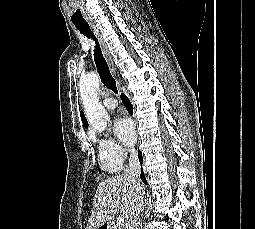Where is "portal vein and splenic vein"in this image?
Instances as JSON below:
<instances>
[{
    "mask_svg": "<svg viewBox=\"0 0 255 229\" xmlns=\"http://www.w3.org/2000/svg\"><path fill=\"white\" fill-rule=\"evenodd\" d=\"M124 223V218L122 216H119L117 218V225L118 226H121L122 224Z\"/></svg>",
    "mask_w": 255,
    "mask_h": 229,
    "instance_id": "portal-vein-and-splenic-vein-1",
    "label": "portal vein and splenic vein"
}]
</instances>
